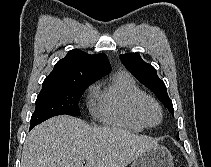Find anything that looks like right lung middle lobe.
Here are the masks:
<instances>
[{
	"label": "right lung middle lobe",
	"instance_id": "1",
	"mask_svg": "<svg viewBox=\"0 0 211 167\" xmlns=\"http://www.w3.org/2000/svg\"><path fill=\"white\" fill-rule=\"evenodd\" d=\"M96 80H85L63 86H42L36 99V108L30 128L57 115L79 116L78 102L85 89Z\"/></svg>",
	"mask_w": 211,
	"mask_h": 167
}]
</instances>
